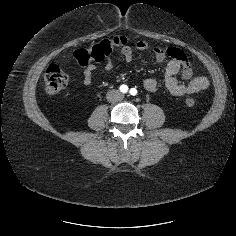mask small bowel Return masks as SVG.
I'll return each instance as SVG.
<instances>
[{
  "instance_id": "obj_1",
  "label": "small bowel",
  "mask_w": 236,
  "mask_h": 236,
  "mask_svg": "<svg viewBox=\"0 0 236 236\" xmlns=\"http://www.w3.org/2000/svg\"><path fill=\"white\" fill-rule=\"evenodd\" d=\"M137 50L145 51L151 49L155 58L158 61L169 59L165 69L164 84L166 89L175 96H185L206 90L209 87V80L203 76H193L192 67L187 59V56L182 50L176 47H152L147 41L140 40L135 44ZM121 54L124 60L128 63L133 61L134 55L130 45H126L121 49ZM106 71H111L114 67L111 58H106L103 63ZM96 67L93 64H88L83 68V84L89 86L92 84ZM181 74L184 82H179L176 78L177 74ZM144 88L153 92L158 87V82L154 78H146L143 82Z\"/></svg>"
}]
</instances>
